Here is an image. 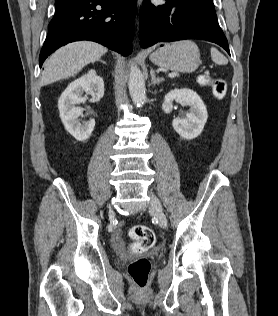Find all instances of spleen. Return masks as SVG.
I'll use <instances>...</instances> for the list:
<instances>
[{
  "instance_id": "1",
  "label": "spleen",
  "mask_w": 278,
  "mask_h": 316,
  "mask_svg": "<svg viewBox=\"0 0 278 316\" xmlns=\"http://www.w3.org/2000/svg\"><path fill=\"white\" fill-rule=\"evenodd\" d=\"M211 58L218 65L227 63V58L214 47L211 48Z\"/></svg>"
}]
</instances>
